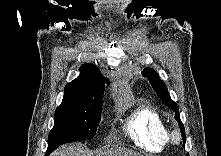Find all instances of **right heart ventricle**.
Returning <instances> with one entry per match:
<instances>
[{
  "mask_svg": "<svg viewBox=\"0 0 221 156\" xmlns=\"http://www.w3.org/2000/svg\"><path fill=\"white\" fill-rule=\"evenodd\" d=\"M125 133L140 149L162 152L170 143V128L161 114L149 106H140L127 118Z\"/></svg>",
  "mask_w": 221,
  "mask_h": 156,
  "instance_id": "1",
  "label": "right heart ventricle"
}]
</instances>
